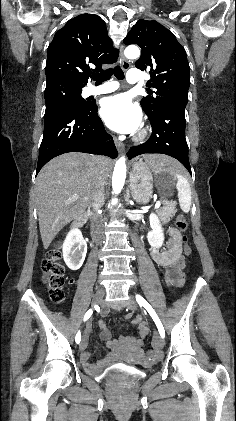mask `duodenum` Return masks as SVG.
<instances>
[{
	"label": "duodenum",
	"mask_w": 236,
	"mask_h": 421,
	"mask_svg": "<svg viewBox=\"0 0 236 421\" xmlns=\"http://www.w3.org/2000/svg\"><path fill=\"white\" fill-rule=\"evenodd\" d=\"M87 219L86 214L79 215L71 225V228L75 234H78L85 224ZM152 258L160 266L165 269L166 281L169 284H177L181 280L182 270L184 267V262L180 256V251L178 248L172 244L169 249L164 251H151ZM138 340L137 342H139ZM115 356L113 354L108 355L105 359L99 361L96 365L88 362L89 357L83 356L82 361L86 370L91 374H99L112 360Z\"/></svg>",
	"instance_id": "obj_1"
}]
</instances>
